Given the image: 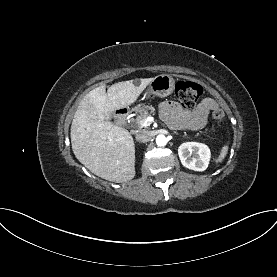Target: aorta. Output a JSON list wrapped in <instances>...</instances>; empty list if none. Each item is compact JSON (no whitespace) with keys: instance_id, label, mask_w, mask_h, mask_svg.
Here are the masks:
<instances>
[{"instance_id":"aorta-1","label":"aorta","mask_w":277,"mask_h":277,"mask_svg":"<svg viewBox=\"0 0 277 277\" xmlns=\"http://www.w3.org/2000/svg\"><path fill=\"white\" fill-rule=\"evenodd\" d=\"M156 144L158 146H165L167 144V138L164 135H158L156 137Z\"/></svg>"}]
</instances>
